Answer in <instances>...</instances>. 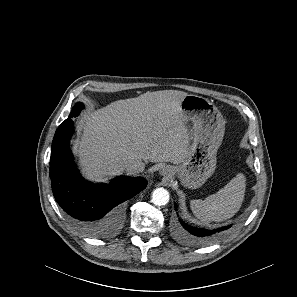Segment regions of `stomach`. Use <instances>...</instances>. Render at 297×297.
<instances>
[{
  "label": "stomach",
  "instance_id": "1",
  "mask_svg": "<svg viewBox=\"0 0 297 297\" xmlns=\"http://www.w3.org/2000/svg\"><path fill=\"white\" fill-rule=\"evenodd\" d=\"M180 117L184 123L193 125L192 144L185 159L172 169L183 186L196 189L216 169V155L223 140L225 122L212 102L197 95H187L181 100Z\"/></svg>",
  "mask_w": 297,
  "mask_h": 297
}]
</instances>
